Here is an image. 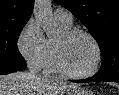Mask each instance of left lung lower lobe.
Segmentation results:
<instances>
[{
    "label": "left lung lower lobe",
    "instance_id": "left-lung-lower-lobe-1",
    "mask_svg": "<svg viewBox=\"0 0 119 95\" xmlns=\"http://www.w3.org/2000/svg\"><path fill=\"white\" fill-rule=\"evenodd\" d=\"M96 81H113V82H117L119 83V75H114L111 77H103L100 76L99 74H96L95 76L88 78V79H84V80H77L74 82H81V83H85V82H96Z\"/></svg>",
    "mask_w": 119,
    "mask_h": 95
}]
</instances>
